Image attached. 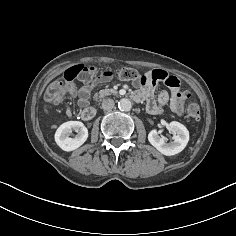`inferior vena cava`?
Returning a JSON list of instances; mask_svg holds the SVG:
<instances>
[{
    "label": "inferior vena cava",
    "mask_w": 236,
    "mask_h": 236,
    "mask_svg": "<svg viewBox=\"0 0 236 236\" xmlns=\"http://www.w3.org/2000/svg\"><path fill=\"white\" fill-rule=\"evenodd\" d=\"M115 103L112 99H105L102 102V109L104 110H111L113 109Z\"/></svg>",
    "instance_id": "1"
}]
</instances>
